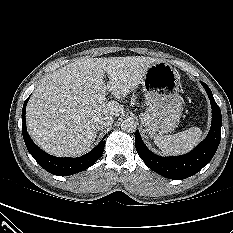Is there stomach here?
Returning a JSON list of instances; mask_svg holds the SVG:
<instances>
[{"label": "stomach", "mask_w": 233, "mask_h": 233, "mask_svg": "<svg viewBox=\"0 0 233 233\" xmlns=\"http://www.w3.org/2000/svg\"><path fill=\"white\" fill-rule=\"evenodd\" d=\"M142 85L147 108L140 119L149 136L173 131L183 111L180 81L175 68L165 61L152 64L143 77Z\"/></svg>", "instance_id": "stomach-1"}]
</instances>
